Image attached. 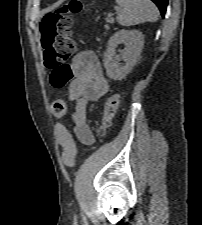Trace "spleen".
<instances>
[{
  "label": "spleen",
  "mask_w": 202,
  "mask_h": 225,
  "mask_svg": "<svg viewBox=\"0 0 202 225\" xmlns=\"http://www.w3.org/2000/svg\"><path fill=\"white\" fill-rule=\"evenodd\" d=\"M122 8L117 21L122 26H132L158 20L159 11L151 0H116Z\"/></svg>",
  "instance_id": "1"
}]
</instances>
